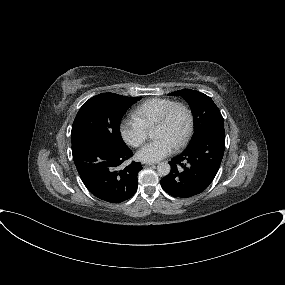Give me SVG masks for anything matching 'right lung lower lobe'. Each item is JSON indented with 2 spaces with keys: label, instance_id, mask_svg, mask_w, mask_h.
<instances>
[{
  "label": "right lung lower lobe",
  "instance_id": "98d812e1",
  "mask_svg": "<svg viewBox=\"0 0 285 285\" xmlns=\"http://www.w3.org/2000/svg\"><path fill=\"white\" fill-rule=\"evenodd\" d=\"M127 148L118 150L94 138L81 136L72 141V155L86 188L97 198L120 203L131 198L138 186L141 163L118 167L132 156Z\"/></svg>",
  "mask_w": 285,
  "mask_h": 285
}]
</instances>
